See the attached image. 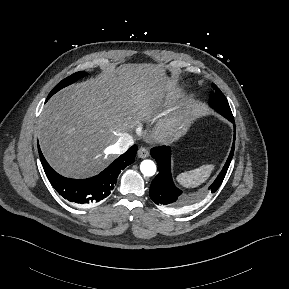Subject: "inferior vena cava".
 <instances>
[{
    "label": "inferior vena cava",
    "instance_id": "1",
    "mask_svg": "<svg viewBox=\"0 0 289 289\" xmlns=\"http://www.w3.org/2000/svg\"><path fill=\"white\" fill-rule=\"evenodd\" d=\"M133 144H134L133 137L128 133H124L123 135L120 136L117 142L114 145H112V153L121 154L125 152Z\"/></svg>",
    "mask_w": 289,
    "mask_h": 289
}]
</instances>
